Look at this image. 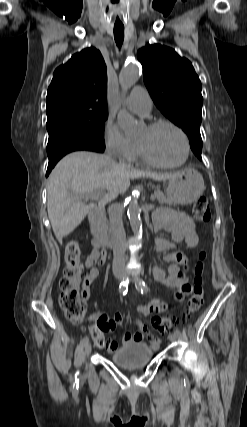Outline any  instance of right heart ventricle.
I'll return each instance as SVG.
<instances>
[{
  "mask_svg": "<svg viewBox=\"0 0 247 427\" xmlns=\"http://www.w3.org/2000/svg\"><path fill=\"white\" fill-rule=\"evenodd\" d=\"M140 157H141V155H140L139 150H138V147H137V145H136L135 152H134V154H133L132 159H139Z\"/></svg>",
  "mask_w": 247,
  "mask_h": 427,
  "instance_id": "e07e8e85",
  "label": "right heart ventricle"
}]
</instances>
